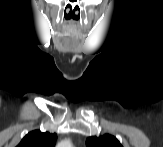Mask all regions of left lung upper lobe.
Here are the masks:
<instances>
[{"instance_id": "obj_1", "label": "left lung upper lobe", "mask_w": 163, "mask_h": 147, "mask_svg": "<svg viewBox=\"0 0 163 147\" xmlns=\"http://www.w3.org/2000/svg\"><path fill=\"white\" fill-rule=\"evenodd\" d=\"M87 147H122L120 142L112 135L105 134L100 137H89L86 140Z\"/></svg>"}]
</instances>
